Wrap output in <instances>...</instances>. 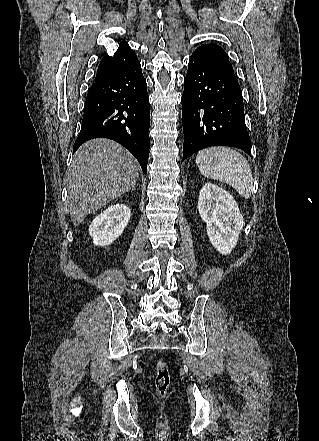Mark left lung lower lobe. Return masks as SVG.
I'll return each instance as SVG.
<instances>
[{
	"label": "left lung lower lobe",
	"instance_id": "left-lung-lower-lobe-1",
	"mask_svg": "<svg viewBox=\"0 0 319 441\" xmlns=\"http://www.w3.org/2000/svg\"><path fill=\"white\" fill-rule=\"evenodd\" d=\"M181 102L183 161L211 146H232L251 155L242 92L235 74L192 55Z\"/></svg>",
	"mask_w": 319,
	"mask_h": 441
}]
</instances>
